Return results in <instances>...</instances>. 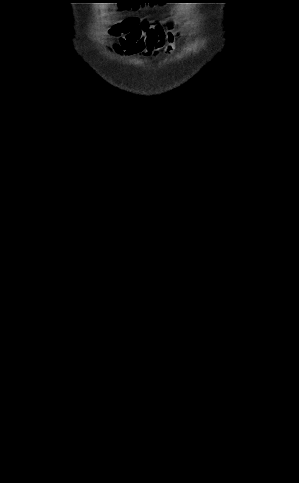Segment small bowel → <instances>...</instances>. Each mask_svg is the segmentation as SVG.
I'll return each instance as SVG.
<instances>
[{
    "label": "small bowel",
    "mask_w": 299,
    "mask_h": 483,
    "mask_svg": "<svg viewBox=\"0 0 299 483\" xmlns=\"http://www.w3.org/2000/svg\"><path fill=\"white\" fill-rule=\"evenodd\" d=\"M110 35L116 38L113 50L127 55L155 56L160 49L166 54H172L178 32L172 27H164L159 22L128 16L114 24Z\"/></svg>",
    "instance_id": "small-bowel-1"
}]
</instances>
